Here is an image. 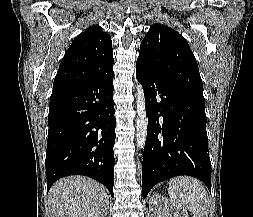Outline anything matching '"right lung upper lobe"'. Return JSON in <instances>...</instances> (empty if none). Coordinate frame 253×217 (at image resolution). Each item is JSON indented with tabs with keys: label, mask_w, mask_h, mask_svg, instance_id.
<instances>
[{
	"label": "right lung upper lobe",
	"mask_w": 253,
	"mask_h": 217,
	"mask_svg": "<svg viewBox=\"0 0 253 217\" xmlns=\"http://www.w3.org/2000/svg\"><path fill=\"white\" fill-rule=\"evenodd\" d=\"M113 68L112 41L99 25L79 34L66 51L54 80L52 93L88 83Z\"/></svg>",
	"instance_id": "1"
}]
</instances>
